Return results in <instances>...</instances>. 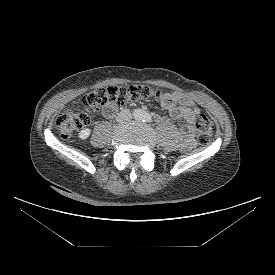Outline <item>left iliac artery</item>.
I'll return each mask as SVG.
<instances>
[{
	"instance_id": "44dca946",
	"label": "left iliac artery",
	"mask_w": 275,
	"mask_h": 275,
	"mask_svg": "<svg viewBox=\"0 0 275 275\" xmlns=\"http://www.w3.org/2000/svg\"><path fill=\"white\" fill-rule=\"evenodd\" d=\"M142 119L145 122H151L152 121V117L150 114H148L147 112H144L142 115Z\"/></svg>"
}]
</instances>
